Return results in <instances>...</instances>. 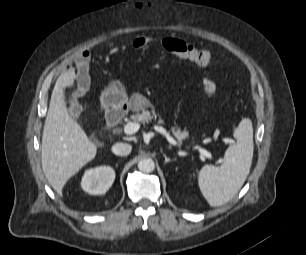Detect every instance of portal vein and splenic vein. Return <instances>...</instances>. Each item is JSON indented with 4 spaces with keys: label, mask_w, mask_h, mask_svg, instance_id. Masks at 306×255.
Returning <instances> with one entry per match:
<instances>
[{
    "label": "portal vein and splenic vein",
    "mask_w": 306,
    "mask_h": 255,
    "mask_svg": "<svg viewBox=\"0 0 306 255\" xmlns=\"http://www.w3.org/2000/svg\"><path fill=\"white\" fill-rule=\"evenodd\" d=\"M140 128V125L138 123L135 122H128L124 128L123 131L125 134L127 135H132L134 133H136ZM155 131L159 132L160 134H162L169 143L173 144V145H177L176 140L167 132V130L161 126H154L153 127ZM198 151L200 152L201 155L205 156L208 159H213L212 154L207 151L204 148H198Z\"/></svg>",
    "instance_id": "obj_1"
}]
</instances>
